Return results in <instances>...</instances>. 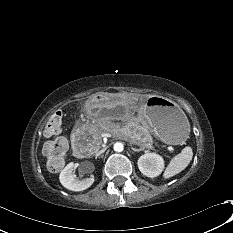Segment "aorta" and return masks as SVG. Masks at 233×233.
I'll list each match as a JSON object with an SVG mask.
<instances>
[{"instance_id": "aorta-1", "label": "aorta", "mask_w": 233, "mask_h": 233, "mask_svg": "<svg viewBox=\"0 0 233 233\" xmlns=\"http://www.w3.org/2000/svg\"><path fill=\"white\" fill-rule=\"evenodd\" d=\"M113 148H114V151L116 152H122L124 149V145L121 142H116Z\"/></svg>"}]
</instances>
